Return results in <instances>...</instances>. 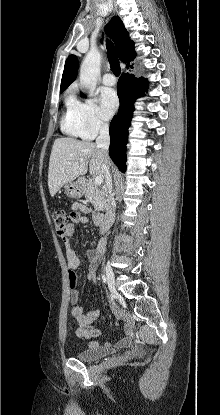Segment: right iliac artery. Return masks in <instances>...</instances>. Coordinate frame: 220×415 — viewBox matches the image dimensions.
I'll return each mask as SVG.
<instances>
[{"label":"right iliac artery","instance_id":"obj_1","mask_svg":"<svg viewBox=\"0 0 220 415\" xmlns=\"http://www.w3.org/2000/svg\"><path fill=\"white\" fill-rule=\"evenodd\" d=\"M102 281H103V283H106V277H105V275L104 274H102Z\"/></svg>","mask_w":220,"mask_h":415}]
</instances>
